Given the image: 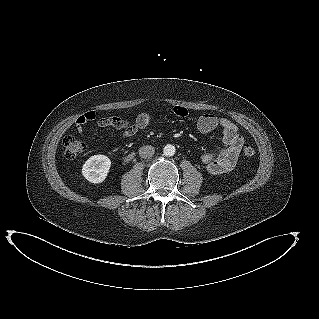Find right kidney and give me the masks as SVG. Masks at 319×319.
Segmentation results:
<instances>
[{"label": "right kidney", "mask_w": 319, "mask_h": 319, "mask_svg": "<svg viewBox=\"0 0 319 319\" xmlns=\"http://www.w3.org/2000/svg\"><path fill=\"white\" fill-rule=\"evenodd\" d=\"M111 160L105 155L91 156L82 167V175L91 183H101L107 177Z\"/></svg>", "instance_id": "ca27d5eb"}]
</instances>
